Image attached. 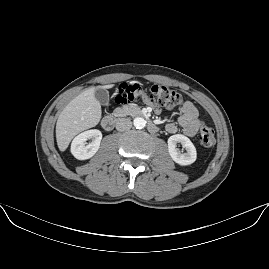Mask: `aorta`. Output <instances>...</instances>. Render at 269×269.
<instances>
[{
    "label": "aorta",
    "instance_id": "obj_1",
    "mask_svg": "<svg viewBox=\"0 0 269 269\" xmlns=\"http://www.w3.org/2000/svg\"><path fill=\"white\" fill-rule=\"evenodd\" d=\"M133 124L137 129H141L146 126V120L141 117H136L133 121Z\"/></svg>",
    "mask_w": 269,
    "mask_h": 269
}]
</instances>
